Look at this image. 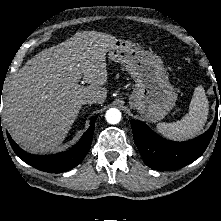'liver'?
<instances>
[{
	"mask_svg": "<svg viewBox=\"0 0 221 221\" xmlns=\"http://www.w3.org/2000/svg\"><path fill=\"white\" fill-rule=\"evenodd\" d=\"M117 39L97 31L77 32L45 49L14 74L3 96V121L12 138L32 153L58 148L82 101L107 97L106 53ZM76 69L89 86L78 83Z\"/></svg>",
	"mask_w": 221,
	"mask_h": 221,
	"instance_id": "1",
	"label": "liver"
}]
</instances>
